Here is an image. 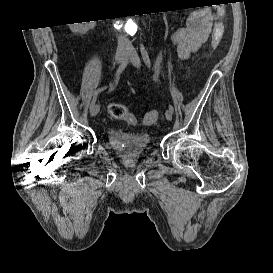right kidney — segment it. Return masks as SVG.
Wrapping results in <instances>:
<instances>
[{"instance_id": "obj_1", "label": "right kidney", "mask_w": 273, "mask_h": 273, "mask_svg": "<svg viewBox=\"0 0 273 273\" xmlns=\"http://www.w3.org/2000/svg\"><path fill=\"white\" fill-rule=\"evenodd\" d=\"M85 24V25H83ZM95 21H90V23L82 22L81 23H75L73 27H71V30L73 32H78L81 34H85L89 29L93 28L95 26Z\"/></svg>"}]
</instances>
